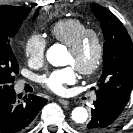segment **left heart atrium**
Here are the masks:
<instances>
[{
	"mask_svg": "<svg viewBox=\"0 0 133 133\" xmlns=\"http://www.w3.org/2000/svg\"><path fill=\"white\" fill-rule=\"evenodd\" d=\"M76 71L73 65L53 70L40 77V83L55 93H63L67 85L76 81Z\"/></svg>",
	"mask_w": 133,
	"mask_h": 133,
	"instance_id": "left-heart-atrium-1",
	"label": "left heart atrium"
}]
</instances>
